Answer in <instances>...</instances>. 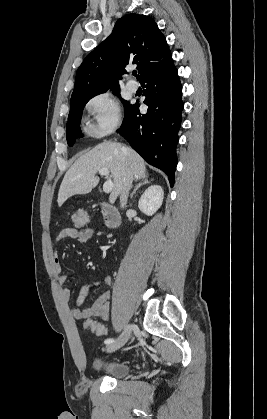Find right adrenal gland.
Segmentation results:
<instances>
[{
  "label": "right adrenal gland",
  "instance_id": "right-adrenal-gland-1",
  "mask_svg": "<svg viewBox=\"0 0 267 419\" xmlns=\"http://www.w3.org/2000/svg\"><path fill=\"white\" fill-rule=\"evenodd\" d=\"M150 183V181H148V179H144L141 183H139L138 185H136L135 186V188H134V190H133V192L131 193V195H130V198L132 199L133 198V196H134V194L136 193V191L141 187V186H143V185H145V184H149Z\"/></svg>",
  "mask_w": 267,
  "mask_h": 419
}]
</instances>
